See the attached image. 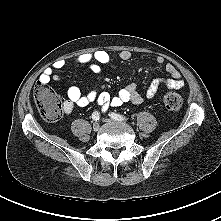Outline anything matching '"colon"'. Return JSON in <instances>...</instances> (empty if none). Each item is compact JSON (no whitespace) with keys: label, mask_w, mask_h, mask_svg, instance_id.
Returning a JSON list of instances; mask_svg holds the SVG:
<instances>
[{"label":"colon","mask_w":221,"mask_h":221,"mask_svg":"<svg viewBox=\"0 0 221 221\" xmlns=\"http://www.w3.org/2000/svg\"><path fill=\"white\" fill-rule=\"evenodd\" d=\"M33 98L40 114L47 120L56 121L61 118L64 108L47 83L38 82L33 90ZM163 103L168 110L177 111L182 107L183 100L175 92H167L163 96Z\"/></svg>","instance_id":"obj_1"}]
</instances>
